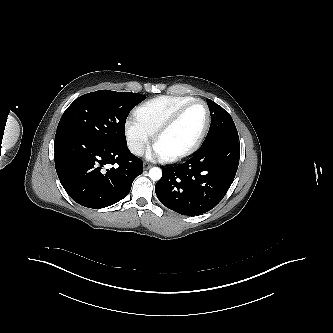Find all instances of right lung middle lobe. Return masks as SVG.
<instances>
[{
	"label": "right lung middle lobe",
	"mask_w": 333,
	"mask_h": 333,
	"mask_svg": "<svg viewBox=\"0 0 333 333\" xmlns=\"http://www.w3.org/2000/svg\"><path fill=\"white\" fill-rule=\"evenodd\" d=\"M144 99L142 94L110 90L85 94L66 109L55 136L68 134L105 144H127L124 132L126 118Z\"/></svg>",
	"instance_id": "1"
}]
</instances>
